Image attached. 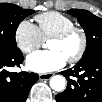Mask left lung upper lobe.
Returning a JSON list of instances; mask_svg holds the SVG:
<instances>
[{"instance_id":"left-lung-upper-lobe-1","label":"left lung upper lobe","mask_w":102,"mask_h":102,"mask_svg":"<svg viewBox=\"0 0 102 102\" xmlns=\"http://www.w3.org/2000/svg\"><path fill=\"white\" fill-rule=\"evenodd\" d=\"M68 13L78 19L86 34L87 48L82 58L102 54V19L82 9H71Z\"/></svg>"}]
</instances>
